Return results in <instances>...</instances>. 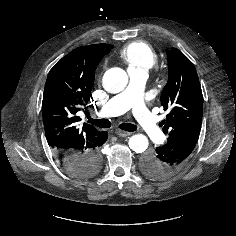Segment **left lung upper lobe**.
I'll list each match as a JSON object with an SVG mask.
<instances>
[{
    "label": "left lung upper lobe",
    "mask_w": 236,
    "mask_h": 236,
    "mask_svg": "<svg viewBox=\"0 0 236 236\" xmlns=\"http://www.w3.org/2000/svg\"><path fill=\"white\" fill-rule=\"evenodd\" d=\"M167 59L169 76L161 94V104L170 112L160 125L168 140L183 134H199L203 102L195 67L176 48L167 53Z\"/></svg>",
    "instance_id": "left-lung-upper-lobe-1"
}]
</instances>
